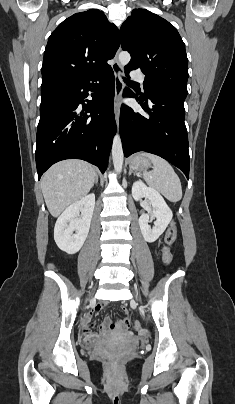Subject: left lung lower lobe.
<instances>
[{"label": "left lung lower lobe", "instance_id": "0a47b994", "mask_svg": "<svg viewBox=\"0 0 235 404\" xmlns=\"http://www.w3.org/2000/svg\"><path fill=\"white\" fill-rule=\"evenodd\" d=\"M125 73L129 77V72ZM125 95L135 97L147 115L122 106L120 135L124 156L139 151L156 154L181 169L189 179L185 99L166 93L138 97L127 88Z\"/></svg>", "mask_w": 235, "mask_h": 404}]
</instances>
